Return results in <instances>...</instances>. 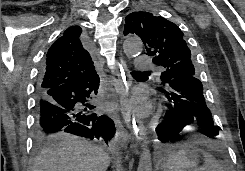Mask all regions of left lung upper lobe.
<instances>
[{
  "label": "left lung upper lobe",
  "mask_w": 245,
  "mask_h": 171,
  "mask_svg": "<svg viewBox=\"0 0 245 171\" xmlns=\"http://www.w3.org/2000/svg\"><path fill=\"white\" fill-rule=\"evenodd\" d=\"M124 35L136 33L143 41L152 61L165 68L161 87L180 75L197 77L191 51L183 32L173 22L149 12H132L125 18Z\"/></svg>",
  "instance_id": "left-lung-upper-lobe-1"
}]
</instances>
